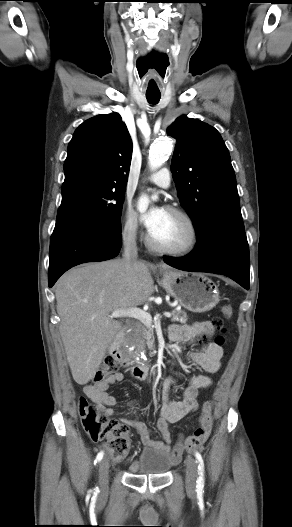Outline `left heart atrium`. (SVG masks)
<instances>
[{
    "mask_svg": "<svg viewBox=\"0 0 292 527\" xmlns=\"http://www.w3.org/2000/svg\"><path fill=\"white\" fill-rule=\"evenodd\" d=\"M164 213L165 211L161 208H152L142 214L141 221L149 233L158 227L164 216Z\"/></svg>",
    "mask_w": 292,
    "mask_h": 527,
    "instance_id": "1",
    "label": "left heart atrium"
}]
</instances>
